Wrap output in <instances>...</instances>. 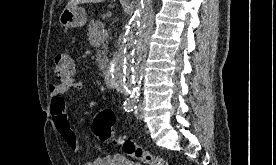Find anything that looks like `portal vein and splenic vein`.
Here are the masks:
<instances>
[{
	"label": "portal vein and splenic vein",
	"instance_id": "1",
	"mask_svg": "<svg viewBox=\"0 0 276 165\" xmlns=\"http://www.w3.org/2000/svg\"><path fill=\"white\" fill-rule=\"evenodd\" d=\"M108 37V32L106 30H102L101 33L99 34V39L107 38Z\"/></svg>",
	"mask_w": 276,
	"mask_h": 165
}]
</instances>
